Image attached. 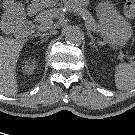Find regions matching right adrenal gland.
<instances>
[{"instance_id": "2a0ac1e0", "label": "right adrenal gland", "mask_w": 135, "mask_h": 135, "mask_svg": "<svg viewBox=\"0 0 135 135\" xmlns=\"http://www.w3.org/2000/svg\"><path fill=\"white\" fill-rule=\"evenodd\" d=\"M48 38H49V36H48V37H46V38H44V39H42V40H41V42H45V41H47V40H48Z\"/></svg>"}]
</instances>
